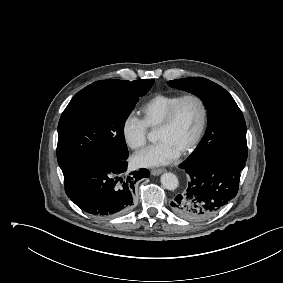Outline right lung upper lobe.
Returning <instances> with one entry per match:
<instances>
[{"label": "right lung upper lobe", "instance_id": "1", "mask_svg": "<svg viewBox=\"0 0 283 283\" xmlns=\"http://www.w3.org/2000/svg\"><path fill=\"white\" fill-rule=\"evenodd\" d=\"M105 81H109V80H105ZM97 82H102V81H97Z\"/></svg>", "mask_w": 283, "mask_h": 283}]
</instances>
